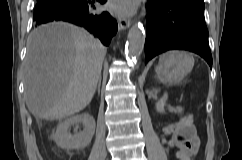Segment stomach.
Returning a JSON list of instances; mask_svg holds the SVG:
<instances>
[{"instance_id": "stomach-1", "label": "stomach", "mask_w": 242, "mask_h": 160, "mask_svg": "<svg viewBox=\"0 0 242 160\" xmlns=\"http://www.w3.org/2000/svg\"><path fill=\"white\" fill-rule=\"evenodd\" d=\"M193 65L194 59L190 53L172 51L160 57L156 73L163 82L177 83L184 79Z\"/></svg>"}]
</instances>
